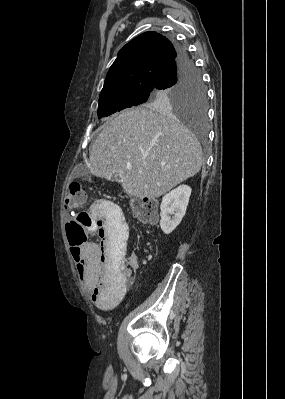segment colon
<instances>
[{
	"label": "colon",
	"mask_w": 285,
	"mask_h": 399,
	"mask_svg": "<svg viewBox=\"0 0 285 399\" xmlns=\"http://www.w3.org/2000/svg\"><path fill=\"white\" fill-rule=\"evenodd\" d=\"M84 206L85 197L81 185L78 182L70 183L65 196V207L71 212L72 218L66 223V232L68 241L75 253L78 252L79 245L94 240L86 235L85 228L90 223L91 217L83 210ZM130 208L132 213L143 222L155 223L158 220V202L155 199L133 200L130 203ZM111 250L116 255L119 248L117 245H113ZM76 271L80 276L81 269L76 267ZM130 274L131 271L128 267H121L118 270V276L122 279L130 276Z\"/></svg>",
	"instance_id": "5ec220e1"
}]
</instances>
